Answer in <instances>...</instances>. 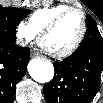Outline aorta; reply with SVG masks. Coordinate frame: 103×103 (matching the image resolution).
Returning <instances> with one entry per match:
<instances>
[{"instance_id":"obj_1","label":"aorta","mask_w":103,"mask_h":103,"mask_svg":"<svg viewBox=\"0 0 103 103\" xmlns=\"http://www.w3.org/2000/svg\"><path fill=\"white\" fill-rule=\"evenodd\" d=\"M28 72L35 81L47 83L51 81L54 76V67L49 61L33 59L28 64Z\"/></svg>"}]
</instances>
